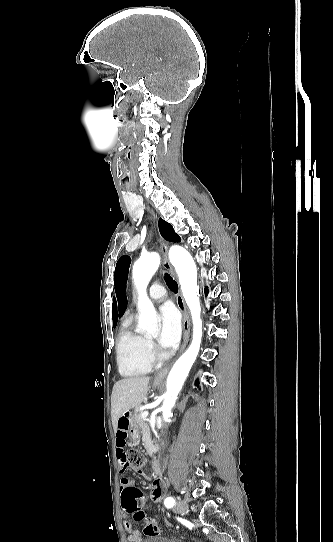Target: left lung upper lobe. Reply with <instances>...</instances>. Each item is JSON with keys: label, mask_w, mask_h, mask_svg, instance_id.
<instances>
[{"label": "left lung upper lobe", "mask_w": 333, "mask_h": 542, "mask_svg": "<svg viewBox=\"0 0 333 542\" xmlns=\"http://www.w3.org/2000/svg\"><path fill=\"white\" fill-rule=\"evenodd\" d=\"M159 230L164 239L171 242H180V237L174 232L173 227L166 221L159 219ZM131 259L122 256L115 268V292L119 302V316L121 317L127 307L126 282Z\"/></svg>", "instance_id": "obj_1"}]
</instances>
